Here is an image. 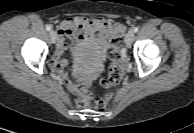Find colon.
<instances>
[{
  "label": "colon",
  "mask_w": 194,
  "mask_h": 133,
  "mask_svg": "<svg viewBox=\"0 0 194 133\" xmlns=\"http://www.w3.org/2000/svg\"><path fill=\"white\" fill-rule=\"evenodd\" d=\"M112 44L113 51L110 54L111 66L109 69V75L107 79H103L100 82V84L105 88L117 85L122 78L121 63L123 60V55L120 51V38H115L112 41ZM111 97L112 94L109 92L102 97L94 99L90 90H84L80 93L77 99V105L83 108L102 110L107 106L108 102L111 100Z\"/></svg>",
  "instance_id": "colon-1"
}]
</instances>
